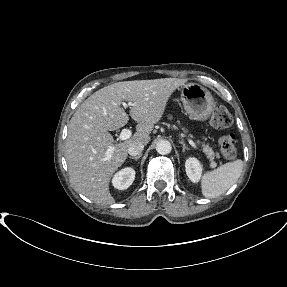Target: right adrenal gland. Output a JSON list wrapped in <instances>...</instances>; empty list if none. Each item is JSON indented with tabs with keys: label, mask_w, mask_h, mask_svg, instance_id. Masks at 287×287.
<instances>
[{
	"label": "right adrenal gland",
	"mask_w": 287,
	"mask_h": 287,
	"mask_svg": "<svg viewBox=\"0 0 287 287\" xmlns=\"http://www.w3.org/2000/svg\"><path fill=\"white\" fill-rule=\"evenodd\" d=\"M142 155L140 154V155H138V156H135V157H129L130 159H134V160H138V159H140V157H141Z\"/></svg>",
	"instance_id": "right-adrenal-gland-1"
}]
</instances>
